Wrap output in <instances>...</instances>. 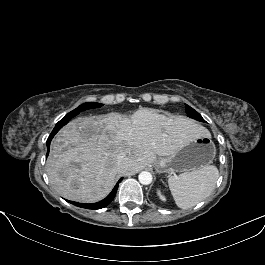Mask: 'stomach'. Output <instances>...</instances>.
Listing matches in <instances>:
<instances>
[{
  "label": "stomach",
  "instance_id": "1",
  "mask_svg": "<svg viewBox=\"0 0 265 265\" xmlns=\"http://www.w3.org/2000/svg\"><path fill=\"white\" fill-rule=\"evenodd\" d=\"M216 154L209 133L186 137L181 146L171 155L155 163L158 172H187L198 170L212 163Z\"/></svg>",
  "mask_w": 265,
  "mask_h": 265
}]
</instances>
